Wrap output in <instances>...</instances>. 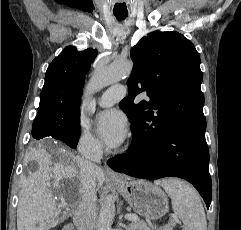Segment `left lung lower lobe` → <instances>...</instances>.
I'll return each instance as SVG.
<instances>
[{
    "label": "left lung lower lobe",
    "mask_w": 241,
    "mask_h": 230,
    "mask_svg": "<svg viewBox=\"0 0 241 230\" xmlns=\"http://www.w3.org/2000/svg\"><path fill=\"white\" fill-rule=\"evenodd\" d=\"M131 128L133 137L128 152L111 158L108 165L114 171L138 178L185 179L199 191L209 208L211 178L205 132L171 129L158 139H150L134 126Z\"/></svg>",
    "instance_id": "left-lung-lower-lobe-1"
}]
</instances>
